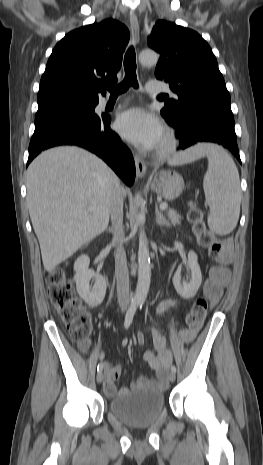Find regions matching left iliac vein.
Instances as JSON below:
<instances>
[{"label": "left iliac vein", "instance_id": "4c4485c4", "mask_svg": "<svg viewBox=\"0 0 263 465\" xmlns=\"http://www.w3.org/2000/svg\"><path fill=\"white\" fill-rule=\"evenodd\" d=\"M168 378H169V380H170L171 382H174V381H175V378H176L175 373L171 371V372L169 373Z\"/></svg>", "mask_w": 263, "mask_h": 465}]
</instances>
